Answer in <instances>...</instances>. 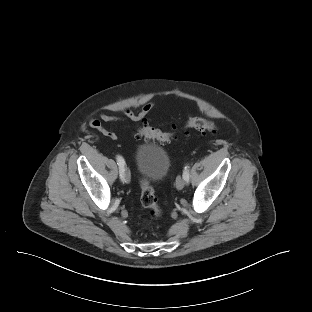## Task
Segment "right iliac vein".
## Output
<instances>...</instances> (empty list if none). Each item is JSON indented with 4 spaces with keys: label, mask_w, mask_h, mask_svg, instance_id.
<instances>
[{
    "label": "right iliac vein",
    "mask_w": 312,
    "mask_h": 312,
    "mask_svg": "<svg viewBox=\"0 0 312 312\" xmlns=\"http://www.w3.org/2000/svg\"><path fill=\"white\" fill-rule=\"evenodd\" d=\"M123 179L125 182H129L130 181V172L127 168L124 169L123 172Z\"/></svg>",
    "instance_id": "obj_1"
}]
</instances>
